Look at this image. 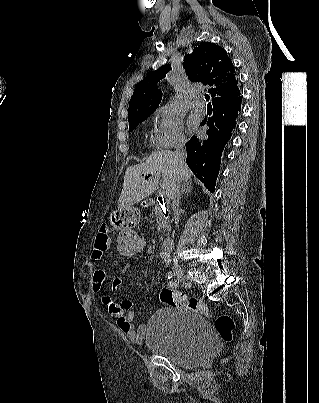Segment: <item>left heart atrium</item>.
Here are the masks:
<instances>
[{
    "mask_svg": "<svg viewBox=\"0 0 319 403\" xmlns=\"http://www.w3.org/2000/svg\"><path fill=\"white\" fill-rule=\"evenodd\" d=\"M190 129H191V130H195V129H196V126H195V124H193V123H190Z\"/></svg>",
    "mask_w": 319,
    "mask_h": 403,
    "instance_id": "1",
    "label": "left heart atrium"
}]
</instances>
